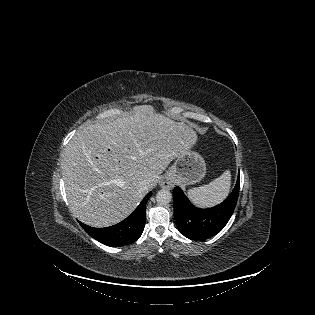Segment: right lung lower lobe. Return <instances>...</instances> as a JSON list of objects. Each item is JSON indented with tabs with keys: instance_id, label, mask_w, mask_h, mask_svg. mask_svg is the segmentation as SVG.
Here are the masks:
<instances>
[{
	"instance_id": "right-lung-lower-lobe-1",
	"label": "right lung lower lobe",
	"mask_w": 315,
	"mask_h": 315,
	"mask_svg": "<svg viewBox=\"0 0 315 315\" xmlns=\"http://www.w3.org/2000/svg\"><path fill=\"white\" fill-rule=\"evenodd\" d=\"M151 195L152 192H149L132 214L116 225L106 228H94L81 222L80 225L91 237L107 246L117 247L131 244L141 236L144 230L145 205Z\"/></svg>"
}]
</instances>
